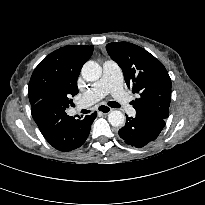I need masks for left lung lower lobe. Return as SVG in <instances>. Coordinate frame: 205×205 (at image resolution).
Wrapping results in <instances>:
<instances>
[{
	"label": "left lung lower lobe",
	"mask_w": 205,
	"mask_h": 205,
	"mask_svg": "<svg viewBox=\"0 0 205 205\" xmlns=\"http://www.w3.org/2000/svg\"><path fill=\"white\" fill-rule=\"evenodd\" d=\"M165 126V119L136 112V117L126 116V124L118 134L130 146L141 148L154 141Z\"/></svg>",
	"instance_id": "1"
}]
</instances>
